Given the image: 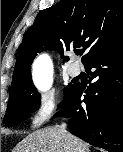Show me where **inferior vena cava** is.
<instances>
[{
  "label": "inferior vena cava",
  "instance_id": "1",
  "mask_svg": "<svg viewBox=\"0 0 123 152\" xmlns=\"http://www.w3.org/2000/svg\"><path fill=\"white\" fill-rule=\"evenodd\" d=\"M66 127H67L66 123H62V124L60 125V129H61V131H62L63 133H66V132H67V131H66Z\"/></svg>",
  "mask_w": 123,
  "mask_h": 152
}]
</instances>
